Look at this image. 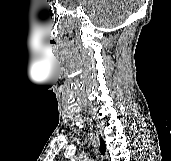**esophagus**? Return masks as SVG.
<instances>
[{"label":"esophagus","mask_w":171,"mask_h":161,"mask_svg":"<svg viewBox=\"0 0 171 161\" xmlns=\"http://www.w3.org/2000/svg\"><path fill=\"white\" fill-rule=\"evenodd\" d=\"M97 139V137L95 136V140ZM97 143L95 142V153H96V157L97 159L99 158V155H98V150H97Z\"/></svg>","instance_id":"34e87169"}]
</instances>
